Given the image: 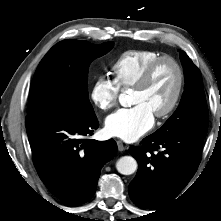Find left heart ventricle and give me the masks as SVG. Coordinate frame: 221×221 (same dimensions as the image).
<instances>
[{"label":"left heart ventricle","instance_id":"obj_1","mask_svg":"<svg viewBox=\"0 0 221 221\" xmlns=\"http://www.w3.org/2000/svg\"><path fill=\"white\" fill-rule=\"evenodd\" d=\"M177 84V71L168 62L162 63L154 71L147 85L142 89H133L132 104L145 105L153 115L164 110L170 103Z\"/></svg>","mask_w":221,"mask_h":221}]
</instances>
